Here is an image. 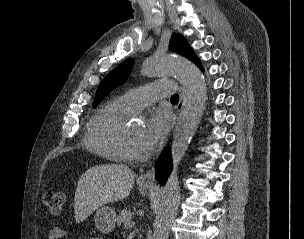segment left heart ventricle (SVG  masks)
I'll use <instances>...</instances> for the list:
<instances>
[{"label": "left heart ventricle", "mask_w": 304, "mask_h": 239, "mask_svg": "<svg viewBox=\"0 0 304 239\" xmlns=\"http://www.w3.org/2000/svg\"><path fill=\"white\" fill-rule=\"evenodd\" d=\"M144 129L143 125H134L131 127H127L129 145L131 149L136 153H143L139 147V137Z\"/></svg>", "instance_id": "1"}]
</instances>
